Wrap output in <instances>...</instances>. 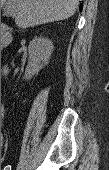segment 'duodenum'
Listing matches in <instances>:
<instances>
[{"instance_id": "obj_1", "label": "duodenum", "mask_w": 109, "mask_h": 170, "mask_svg": "<svg viewBox=\"0 0 109 170\" xmlns=\"http://www.w3.org/2000/svg\"><path fill=\"white\" fill-rule=\"evenodd\" d=\"M11 42V37L10 34L6 31L3 33V39L1 42V47H6L7 45H9Z\"/></svg>"}]
</instances>
